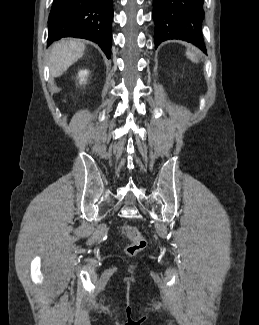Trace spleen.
Wrapping results in <instances>:
<instances>
[{
    "label": "spleen",
    "mask_w": 259,
    "mask_h": 325,
    "mask_svg": "<svg viewBox=\"0 0 259 325\" xmlns=\"http://www.w3.org/2000/svg\"><path fill=\"white\" fill-rule=\"evenodd\" d=\"M186 56L192 61V62H198V58L197 56L195 55V53H193L192 51L190 50H187L186 51Z\"/></svg>",
    "instance_id": "obj_1"
}]
</instances>
